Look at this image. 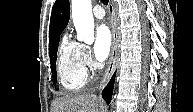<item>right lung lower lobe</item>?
<instances>
[{"label": "right lung lower lobe", "instance_id": "1", "mask_svg": "<svg viewBox=\"0 0 193 112\" xmlns=\"http://www.w3.org/2000/svg\"><path fill=\"white\" fill-rule=\"evenodd\" d=\"M114 79H115V73L112 76L110 82L108 85L105 87V89L102 91V96L103 98L110 103L111 97H112V92H113V86H114Z\"/></svg>", "mask_w": 193, "mask_h": 112}]
</instances>
